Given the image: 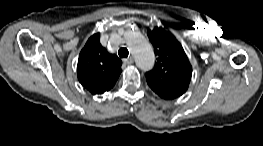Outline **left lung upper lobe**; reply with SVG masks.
Masks as SVG:
<instances>
[{
  "label": "left lung upper lobe",
  "instance_id": "1",
  "mask_svg": "<svg viewBox=\"0 0 263 146\" xmlns=\"http://www.w3.org/2000/svg\"><path fill=\"white\" fill-rule=\"evenodd\" d=\"M148 38L154 47L156 63L146 73L149 87L161 98L180 97L189 86L192 66L178 40L162 27L148 29Z\"/></svg>",
  "mask_w": 263,
  "mask_h": 146
}]
</instances>
